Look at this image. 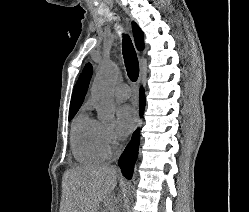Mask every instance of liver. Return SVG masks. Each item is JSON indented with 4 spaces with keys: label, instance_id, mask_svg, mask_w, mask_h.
I'll list each match as a JSON object with an SVG mask.
<instances>
[{
    "label": "liver",
    "instance_id": "1",
    "mask_svg": "<svg viewBox=\"0 0 249 212\" xmlns=\"http://www.w3.org/2000/svg\"><path fill=\"white\" fill-rule=\"evenodd\" d=\"M119 172L115 166H78L64 174L67 212H98L116 188Z\"/></svg>",
    "mask_w": 249,
    "mask_h": 212
}]
</instances>
